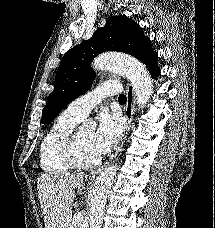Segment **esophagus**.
I'll return each instance as SVG.
<instances>
[{"instance_id":"obj_1","label":"esophagus","mask_w":215,"mask_h":228,"mask_svg":"<svg viewBox=\"0 0 215 228\" xmlns=\"http://www.w3.org/2000/svg\"><path fill=\"white\" fill-rule=\"evenodd\" d=\"M125 87H126L127 102H126L124 115L127 120V126H126V129L124 130L123 136H122L116 150L110 156L107 163H110L114 158H116L118 153L121 151L123 144L126 140V137L129 133V130L131 128V125H132L133 114H134V110H135V92H134L133 86L130 83L125 84ZM100 172H101V170L93 171L90 173V177L96 178L100 174Z\"/></svg>"}]
</instances>
